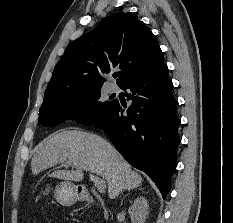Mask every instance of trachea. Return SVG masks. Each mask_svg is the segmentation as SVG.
Returning a JSON list of instances; mask_svg holds the SVG:
<instances>
[{
    "instance_id": "obj_1",
    "label": "trachea",
    "mask_w": 233,
    "mask_h": 223,
    "mask_svg": "<svg viewBox=\"0 0 233 223\" xmlns=\"http://www.w3.org/2000/svg\"><path fill=\"white\" fill-rule=\"evenodd\" d=\"M118 75H114V78H116Z\"/></svg>"
}]
</instances>
